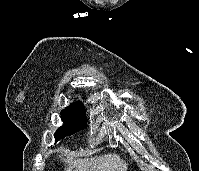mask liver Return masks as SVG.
I'll return each mask as SVG.
<instances>
[{
    "instance_id": "1",
    "label": "liver",
    "mask_w": 199,
    "mask_h": 171,
    "mask_svg": "<svg viewBox=\"0 0 199 171\" xmlns=\"http://www.w3.org/2000/svg\"><path fill=\"white\" fill-rule=\"evenodd\" d=\"M65 162L68 165L65 171H71L73 167H75L74 171H126L128 167V164L116 154H107L75 161L67 159Z\"/></svg>"
}]
</instances>
